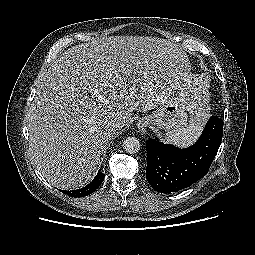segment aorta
<instances>
[{
	"label": "aorta",
	"instance_id": "762f6f07",
	"mask_svg": "<svg viewBox=\"0 0 255 255\" xmlns=\"http://www.w3.org/2000/svg\"><path fill=\"white\" fill-rule=\"evenodd\" d=\"M123 149L129 154H135L140 150V142L135 137H128L123 142Z\"/></svg>",
	"mask_w": 255,
	"mask_h": 255
}]
</instances>
